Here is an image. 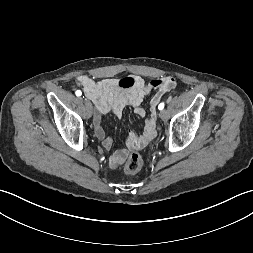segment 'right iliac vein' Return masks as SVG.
Instances as JSON below:
<instances>
[{
  "mask_svg": "<svg viewBox=\"0 0 253 253\" xmlns=\"http://www.w3.org/2000/svg\"><path fill=\"white\" fill-rule=\"evenodd\" d=\"M85 112H86V116L88 118H90L92 116L93 107H92V104L89 101L85 102Z\"/></svg>",
  "mask_w": 253,
  "mask_h": 253,
  "instance_id": "right-iliac-vein-1",
  "label": "right iliac vein"
}]
</instances>
